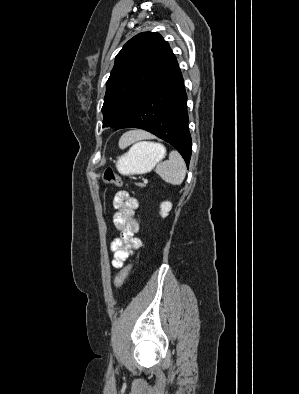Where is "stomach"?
Returning a JSON list of instances; mask_svg holds the SVG:
<instances>
[{
    "label": "stomach",
    "instance_id": "obj_1",
    "mask_svg": "<svg viewBox=\"0 0 299 394\" xmlns=\"http://www.w3.org/2000/svg\"><path fill=\"white\" fill-rule=\"evenodd\" d=\"M165 155V149L150 142H141L133 151L131 149L119 158L118 171L123 175L144 174L152 168Z\"/></svg>",
    "mask_w": 299,
    "mask_h": 394
}]
</instances>
